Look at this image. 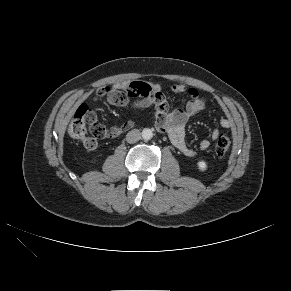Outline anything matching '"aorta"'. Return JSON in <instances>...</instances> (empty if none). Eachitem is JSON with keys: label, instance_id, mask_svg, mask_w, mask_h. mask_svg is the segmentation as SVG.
I'll list each match as a JSON object with an SVG mask.
<instances>
[{"label": "aorta", "instance_id": "1", "mask_svg": "<svg viewBox=\"0 0 291 291\" xmlns=\"http://www.w3.org/2000/svg\"><path fill=\"white\" fill-rule=\"evenodd\" d=\"M141 135L144 140H150L153 137V132L149 128H144Z\"/></svg>", "mask_w": 291, "mask_h": 291}]
</instances>
